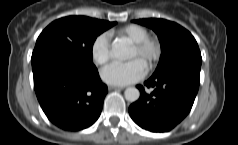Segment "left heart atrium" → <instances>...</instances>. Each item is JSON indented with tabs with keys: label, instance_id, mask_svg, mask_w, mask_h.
Here are the masks:
<instances>
[{
	"label": "left heart atrium",
	"instance_id": "1",
	"mask_svg": "<svg viewBox=\"0 0 238 145\" xmlns=\"http://www.w3.org/2000/svg\"><path fill=\"white\" fill-rule=\"evenodd\" d=\"M144 66L138 59L127 62H115L101 71L103 81L110 85L123 86L142 78Z\"/></svg>",
	"mask_w": 238,
	"mask_h": 145
}]
</instances>
